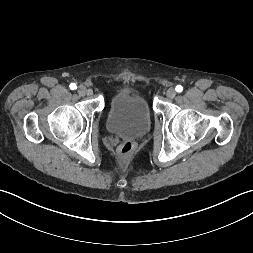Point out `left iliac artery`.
<instances>
[{"instance_id":"1","label":"left iliac artery","mask_w":253,"mask_h":253,"mask_svg":"<svg viewBox=\"0 0 253 253\" xmlns=\"http://www.w3.org/2000/svg\"><path fill=\"white\" fill-rule=\"evenodd\" d=\"M175 90L180 93L183 91V87L181 85H177Z\"/></svg>"}]
</instances>
